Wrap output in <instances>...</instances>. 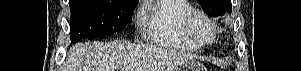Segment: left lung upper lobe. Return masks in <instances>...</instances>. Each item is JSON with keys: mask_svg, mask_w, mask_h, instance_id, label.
I'll return each instance as SVG.
<instances>
[{"mask_svg": "<svg viewBox=\"0 0 301 71\" xmlns=\"http://www.w3.org/2000/svg\"><path fill=\"white\" fill-rule=\"evenodd\" d=\"M203 10L211 17L224 15L226 12L231 13V0H197Z\"/></svg>", "mask_w": 301, "mask_h": 71, "instance_id": "obj_1", "label": "left lung upper lobe"}]
</instances>
